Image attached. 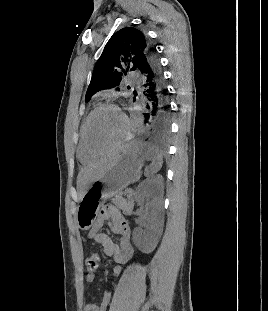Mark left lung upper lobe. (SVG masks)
I'll return each mask as SVG.
<instances>
[{
  "label": "left lung upper lobe",
  "mask_w": 268,
  "mask_h": 311,
  "mask_svg": "<svg viewBox=\"0 0 268 311\" xmlns=\"http://www.w3.org/2000/svg\"><path fill=\"white\" fill-rule=\"evenodd\" d=\"M148 47L144 33L134 27L114 33L95 65L85 101L98 91L118 86L129 70L138 72L139 64L148 59Z\"/></svg>",
  "instance_id": "obj_1"
}]
</instances>
